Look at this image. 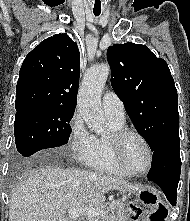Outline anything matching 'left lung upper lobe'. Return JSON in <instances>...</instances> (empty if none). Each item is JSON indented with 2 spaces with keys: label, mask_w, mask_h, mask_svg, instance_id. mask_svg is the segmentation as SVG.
<instances>
[{
  "label": "left lung upper lobe",
  "mask_w": 190,
  "mask_h": 221,
  "mask_svg": "<svg viewBox=\"0 0 190 221\" xmlns=\"http://www.w3.org/2000/svg\"><path fill=\"white\" fill-rule=\"evenodd\" d=\"M107 58L111 85L151 150L179 138L178 95L165 60L131 42L110 46Z\"/></svg>",
  "instance_id": "1"
}]
</instances>
